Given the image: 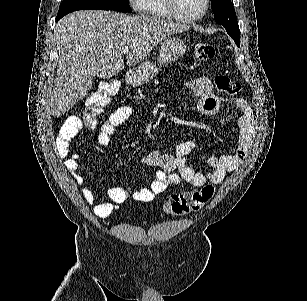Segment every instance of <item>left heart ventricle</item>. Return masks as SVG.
Returning <instances> with one entry per match:
<instances>
[{
  "label": "left heart ventricle",
  "instance_id": "obj_1",
  "mask_svg": "<svg viewBox=\"0 0 307 301\" xmlns=\"http://www.w3.org/2000/svg\"><path fill=\"white\" fill-rule=\"evenodd\" d=\"M202 0H176L175 13H195L201 10Z\"/></svg>",
  "mask_w": 307,
  "mask_h": 301
}]
</instances>
